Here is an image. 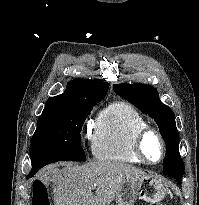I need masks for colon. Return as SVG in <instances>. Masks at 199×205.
I'll use <instances>...</instances> for the list:
<instances>
[{
    "label": "colon",
    "mask_w": 199,
    "mask_h": 205,
    "mask_svg": "<svg viewBox=\"0 0 199 205\" xmlns=\"http://www.w3.org/2000/svg\"><path fill=\"white\" fill-rule=\"evenodd\" d=\"M32 205H50L46 187L41 185L35 186Z\"/></svg>",
    "instance_id": "5ec220e1"
}]
</instances>
